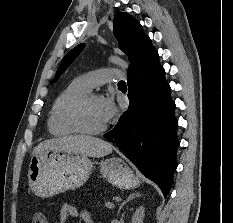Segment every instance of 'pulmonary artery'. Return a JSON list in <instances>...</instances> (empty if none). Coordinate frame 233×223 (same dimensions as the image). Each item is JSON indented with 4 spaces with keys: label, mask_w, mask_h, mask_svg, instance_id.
I'll use <instances>...</instances> for the list:
<instances>
[{
    "label": "pulmonary artery",
    "mask_w": 233,
    "mask_h": 223,
    "mask_svg": "<svg viewBox=\"0 0 233 223\" xmlns=\"http://www.w3.org/2000/svg\"><path fill=\"white\" fill-rule=\"evenodd\" d=\"M125 70L98 69L87 72L77 78L88 92L114 79H123Z\"/></svg>",
    "instance_id": "1"
}]
</instances>
